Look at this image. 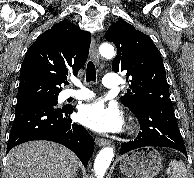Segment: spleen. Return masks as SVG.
Returning <instances> with one entry per match:
<instances>
[{
	"instance_id": "obj_1",
	"label": "spleen",
	"mask_w": 194,
	"mask_h": 178,
	"mask_svg": "<svg viewBox=\"0 0 194 178\" xmlns=\"http://www.w3.org/2000/svg\"><path fill=\"white\" fill-rule=\"evenodd\" d=\"M169 178H187V169L183 161L172 160L167 169Z\"/></svg>"
}]
</instances>
